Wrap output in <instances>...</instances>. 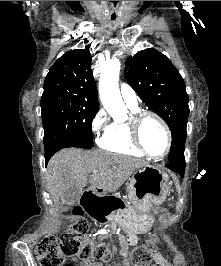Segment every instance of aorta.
I'll return each mask as SVG.
<instances>
[{
	"label": "aorta",
	"mask_w": 221,
	"mask_h": 266,
	"mask_svg": "<svg viewBox=\"0 0 221 266\" xmlns=\"http://www.w3.org/2000/svg\"><path fill=\"white\" fill-rule=\"evenodd\" d=\"M120 65L118 58L106 61L101 67L99 81L102 104L115 120H122L127 114L118 85Z\"/></svg>",
	"instance_id": "aorta-1"
}]
</instances>
